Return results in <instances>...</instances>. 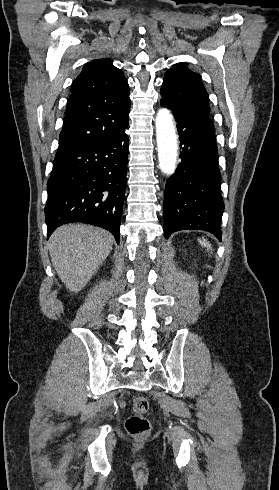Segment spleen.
Returning <instances> with one entry per match:
<instances>
[{
	"instance_id": "1",
	"label": "spleen",
	"mask_w": 279,
	"mask_h": 490,
	"mask_svg": "<svg viewBox=\"0 0 279 490\" xmlns=\"http://www.w3.org/2000/svg\"><path fill=\"white\" fill-rule=\"evenodd\" d=\"M201 246H204V248H207V250H212L211 248V244H209V242H207V240H199Z\"/></svg>"
}]
</instances>
